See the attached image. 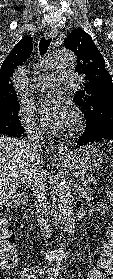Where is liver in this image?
Returning <instances> with one entry per match:
<instances>
[{
	"label": "liver",
	"instance_id": "6515ba94",
	"mask_svg": "<svg viewBox=\"0 0 113 279\" xmlns=\"http://www.w3.org/2000/svg\"><path fill=\"white\" fill-rule=\"evenodd\" d=\"M40 160L25 141L0 136V208L17 197L18 184L24 189L33 184L35 174L41 171Z\"/></svg>",
	"mask_w": 113,
	"mask_h": 279
}]
</instances>
